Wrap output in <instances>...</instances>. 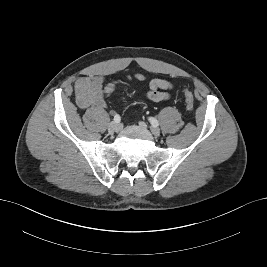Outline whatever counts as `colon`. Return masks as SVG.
<instances>
[{
  "label": "colon",
  "instance_id": "colon-1",
  "mask_svg": "<svg viewBox=\"0 0 267 267\" xmlns=\"http://www.w3.org/2000/svg\"><path fill=\"white\" fill-rule=\"evenodd\" d=\"M116 84H109L106 88H105V94L109 95L112 93V91L115 89ZM184 95H185V102H186V106L188 110H193L194 108V97L192 95V93L189 90H185L184 91Z\"/></svg>",
  "mask_w": 267,
  "mask_h": 267
}]
</instances>
